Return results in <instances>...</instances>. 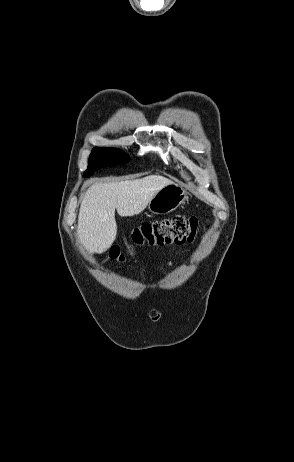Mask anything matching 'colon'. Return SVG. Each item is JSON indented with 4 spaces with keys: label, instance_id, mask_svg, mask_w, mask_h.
I'll return each mask as SVG.
<instances>
[{
    "label": "colon",
    "instance_id": "5ec220e1",
    "mask_svg": "<svg viewBox=\"0 0 294 462\" xmlns=\"http://www.w3.org/2000/svg\"><path fill=\"white\" fill-rule=\"evenodd\" d=\"M201 228L202 223L197 218L183 215L143 223L134 229L132 242L127 247V253L132 254L135 246L191 243ZM110 257L122 262L125 259V254L119 247L115 246L110 250Z\"/></svg>",
    "mask_w": 294,
    "mask_h": 462
}]
</instances>
